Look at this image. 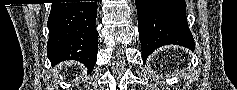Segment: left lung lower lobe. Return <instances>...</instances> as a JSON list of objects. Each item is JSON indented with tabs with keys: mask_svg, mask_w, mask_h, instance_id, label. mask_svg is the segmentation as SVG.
<instances>
[{
	"mask_svg": "<svg viewBox=\"0 0 237 90\" xmlns=\"http://www.w3.org/2000/svg\"><path fill=\"white\" fill-rule=\"evenodd\" d=\"M142 57L158 47L177 44L194 50L184 0H135Z\"/></svg>",
	"mask_w": 237,
	"mask_h": 90,
	"instance_id": "obj_1",
	"label": "left lung lower lobe"
}]
</instances>
